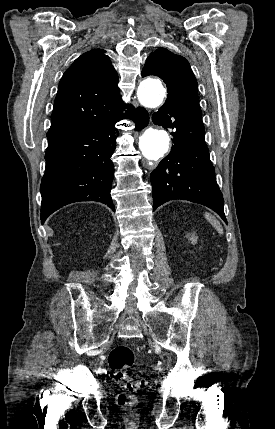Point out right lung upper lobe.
<instances>
[{"instance_id": "1", "label": "right lung upper lobe", "mask_w": 275, "mask_h": 429, "mask_svg": "<svg viewBox=\"0 0 275 429\" xmlns=\"http://www.w3.org/2000/svg\"><path fill=\"white\" fill-rule=\"evenodd\" d=\"M118 75L104 50L81 55L63 74L47 138L115 118L123 109Z\"/></svg>"}]
</instances>
